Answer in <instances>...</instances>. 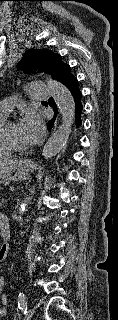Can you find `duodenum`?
I'll return each mask as SVG.
<instances>
[{
	"instance_id": "obj_1",
	"label": "duodenum",
	"mask_w": 118,
	"mask_h": 320,
	"mask_svg": "<svg viewBox=\"0 0 118 320\" xmlns=\"http://www.w3.org/2000/svg\"><path fill=\"white\" fill-rule=\"evenodd\" d=\"M9 219L6 215H0V234L4 239L9 238Z\"/></svg>"
}]
</instances>
